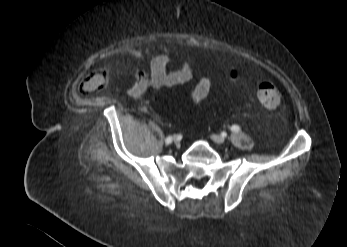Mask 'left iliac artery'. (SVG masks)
<instances>
[{"label": "left iliac artery", "instance_id": "obj_1", "mask_svg": "<svg viewBox=\"0 0 347 247\" xmlns=\"http://www.w3.org/2000/svg\"><path fill=\"white\" fill-rule=\"evenodd\" d=\"M231 131H232V132H239V131H240V126H238V125H233V126L231 127Z\"/></svg>", "mask_w": 347, "mask_h": 247}]
</instances>
